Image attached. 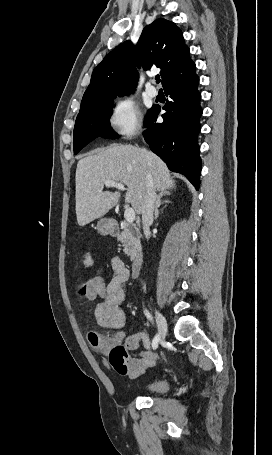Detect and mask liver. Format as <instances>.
<instances>
[{
	"mask_svg": "<svg viewBox=\"0 0 272 455\" xmlns=\"http://www.w3.org/2000/svg\"><path fill=\"white\" fill-rule=\"evenodd\" d=\"M150 173L155 190L167 192L175 187L166 164L154 153L132 145L113 144L79 160L76 169V216L80 226L104 216L121 197L120 192L103 191L108 180L127 186L125 202L142 213L146 195V176Z\"/></svg>",
	"mask_w": 272,
	"mask_h": 455,
	"instance_id": "6515ba94",
	"label": "liver"
}]
</instances>
